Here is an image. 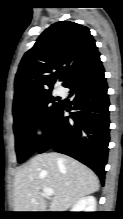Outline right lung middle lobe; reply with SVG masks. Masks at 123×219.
<instances>
[{
    "label": "right lung middle lobe",
    "mask_w": 123,
    "mask_h": 219,
    "mask_svg": "<svg viewBox=\"0 0 123 219\" xmlns=\"http://www.w3.org/2000/svg\"><path fill=\"white\" fill-rule=\"evenodd\" d=\"M51 95V90L13 104L15 148L19 163L25 161L38 148L41 137L35 133L42 124L45 132L61 102Z\"/></svg>",
    "instance_id": "dd1d6c3e"
}]
</instances>
